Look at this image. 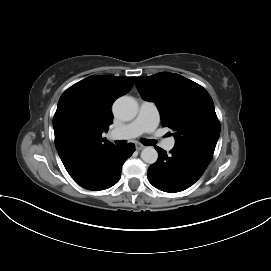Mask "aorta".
I'll list each match as a JSON object with an SVG mask.
<instances>
[{
    "label": "aorta",
    "mask_w": 271,
    "mask_h": 271,
    "mask_svg": "<svg viewBox=\"0 0 271 271\" xmlns=\"http://www.w3.org/2000/svg\"><path fill=\"white\" fill-rule=\"evenodd\" d=\"M113 111L119 119L129 121L136 117L138 113V104L132 97L122 96L115 101ZM141 159L145 163L153 164L158 159V153L155 148L146 147L141 152Z\"/></svg>",
    "instance_id": "1"
}]
</instances>
